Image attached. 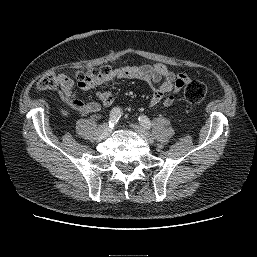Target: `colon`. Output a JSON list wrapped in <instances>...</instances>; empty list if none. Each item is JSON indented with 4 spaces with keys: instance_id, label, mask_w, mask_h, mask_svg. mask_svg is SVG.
Here are the masks:
<instances>
[{
    "instance_id": "obj_1",
    "label": "colon",
    "mask_w": 257,
    "mask_h": 257,
    "mask_svg": "<svg viewBox=\"0 0 257 257\" xmlns=\"http://www.w3.org/2000/svg\"><path fill=\"white\" fill-rule=\"evenodd\" d=\"M110 70L111 69L107 66L91 68L84 71H78L76 77L79 80V83L90 84L106 76ZM57 85V76L52 72L45 74L38 83L39 88L43 90L54 89ZM207 93V86L196 80L187 82L184 88V98L189 103L201 102L207 96Z\"/></svg>"
}]
</instances>
